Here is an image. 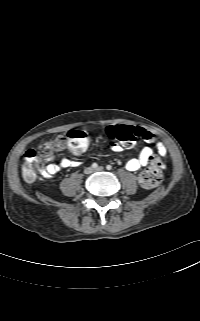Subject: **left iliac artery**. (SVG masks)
I'll use <instances>...</instances> for the list:
<instances>
[{"label": "left iliac artery", "mask_w": 200, "mask_h": 321, "mask_svg": "<svg viewBox=\"0 0 200 321\" xmlns=\"http://www.w3.org/2000/svg\"><path fill=\"white\" fill-rule=\"evenodd\" d=\"M106 169H107V170H111V169H112V166H111V165H107V166H106Z\"/></svg>", "instance_id": "obj_1"}]
</instances>
